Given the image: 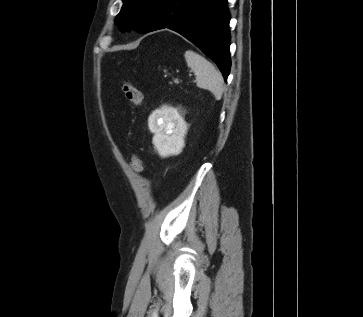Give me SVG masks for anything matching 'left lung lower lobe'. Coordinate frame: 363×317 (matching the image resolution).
<instances>
[{
	"instance_id": "obj_1",
	"label": "left lung lower lobe",
	"mask_w": 363,
	"mask_h": 317,
	"mask_svg": "<svg viewBox=\"0 0 363 317\" xmlns=\"http://www.w3.org/2000/svg\"><path fill=\"white\" fill-rule=\"evenodd\" d=\"M230 14L227 0H160L145 33L168 28L201 48L219 67L230 72Z\"/></svg>"
}]
</instances>
